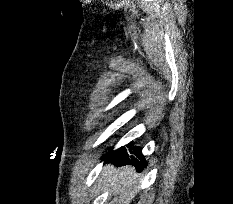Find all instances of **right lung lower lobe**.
Wrapping results in <instances>:
<instances>
[{
    "label": "right lung lower lobe",
    "mask_w": 233,
    "mask_h": 204,
    "mask_svg": "<svg viewBox=\"0 0 233 204\" xmlns=\"http://www.w3.org/2000/svg\"><path fill=\"white\" fill-rule=\"evenodd\" d=\"M130 153L134 154L137 158H135L133 155H129L125 150H117L105 156L104 158H106L107 161L113 163L115 166L132 164L139 172L142 171L146 166V162L144 161V156L142 155L140 149L136 148L135 151Z\"/></svg>",
    "instance_id": "obj_1"
}]
</instances>
